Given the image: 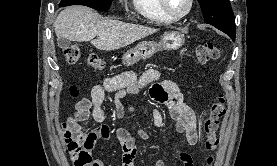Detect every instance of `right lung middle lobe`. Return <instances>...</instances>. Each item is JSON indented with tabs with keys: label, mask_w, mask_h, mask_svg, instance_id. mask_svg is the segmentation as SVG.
Wrapping results in <instances>:
<instances>
[{
	"label": "right lung middle lobe",
	"mask_w": 277,
	"mask_h": 166,
	"mask_svg": "<svg viewBox=\"0 0 277 166\" xmlns=\"http://www.w3.org/2000/svg\"><path fill=\"white\" fill-rule=\"evenodd\" d=\"M112 0H61L59 6L85 5L100 11H107L111 6Z\"/></svg>",
	"instance_id": "1"
}]
</instances>
